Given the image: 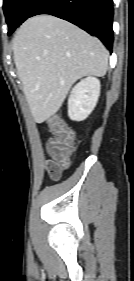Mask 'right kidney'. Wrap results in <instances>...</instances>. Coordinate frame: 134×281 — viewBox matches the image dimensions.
Instances as JSON below:
<instances>
[{
    "instance_id": "right-kidney-1",
    "label": "right kidney",
    "mask_w": 134,
    "mask_h": 281,
    "mask_svg": "<svg viewBox=\"0 0 134 281\" xmlns=\"http://www.w3.org/2000/svg\"><path fill=\"white\" fill-rule=\"evenodd\" d=\"M100 81L87 77L76 84L68 99V116L71 120L86 119L95 108L100 95Z\"/></svg>"
}]
</instances>
